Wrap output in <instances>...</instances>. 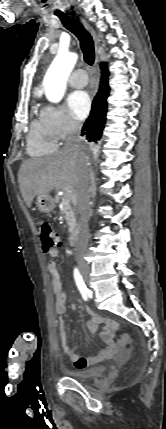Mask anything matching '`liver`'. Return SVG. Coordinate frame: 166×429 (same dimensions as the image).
I'll return each mask as SVG.
<instances>
[{"instance_id": "1", "label": "liver", "mask_w": 166, "mask_h": 429, "mask_svg": "<svg viewBox=\"0 0 166 429\" xmlns=\"http://www.w3.org/2000/svg\"><path fill=\"white\" fill-rule=\"evenodd\" d=\"M70 150H61L53 155L25 160L18 172V182L24 202L31 206L33 199L49 194L53 189L77 188L82 158L87 157Z\"/></svg>"}]
</instances>
